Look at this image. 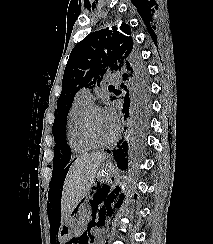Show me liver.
<instances>
[{
    "label": "liver",
    "instance_id": "6515ba94",
    "mask_svg": "<svg viewBox=\"0 0 213 244\" xmlns=\"http://www.w3.org/2000/svg\"><path fill=\"white\" fill-rule=\"evenodd\" d=\"M107 157L104 152L83 154L72 163L65 178L61 196V219L64 221L91 189L100 164Z\"/></svg>",
    "mask_w": 213,
    "mask_h": 244
}]
</instances>
